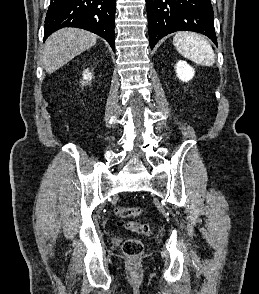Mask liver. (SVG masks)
I'll use <instances>...</instances> for the list:
<instances>
[{
	"instance_id": "liver-1",
	"label": "liver",
	"mask_w": 259,
	"mask_h": 294,
	"mask_svg": "<svg viewBox=\"0 0 259 294\" xmlns=\"http://www.w3.org/2000/svg\"><path fill=\"white\" fill-rule=\"evenodd\" d=\"M97 35L78 28H64L53 33L46 41L42 63L52 74L77 55L96 44Z\"/></svg>"
}]
</instances>
